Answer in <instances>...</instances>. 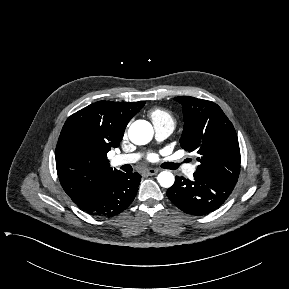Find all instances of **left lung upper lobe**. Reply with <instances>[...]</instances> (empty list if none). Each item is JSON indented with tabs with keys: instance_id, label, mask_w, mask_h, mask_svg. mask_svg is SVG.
<instances>
[{
	"instance_id": "obj_1",
	"label": "left lung upper lobe",
	"mask_w": 289,
	"mask_h": 289,
	"mask_svg": "<svg viewBox=\"0 0 289 289\" xmlns=\"http://www.w3.org/2000/svg\"><path fill=\"white\" fill-rule=\"evenodd\" d=\"M183 106L184 130L181 147L198 154L196 172L217 176L236 184L240 173V148L235 129L214 102L179 96Z\"/></svg>"
}]
</instances>
